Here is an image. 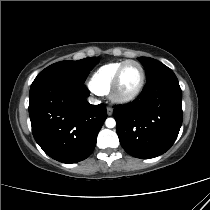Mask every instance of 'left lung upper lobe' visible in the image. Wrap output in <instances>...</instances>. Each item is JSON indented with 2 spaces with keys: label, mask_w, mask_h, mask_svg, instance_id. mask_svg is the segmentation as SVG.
Segmentation results:
<instances>
[{
  "label": "left lung upper lobe",
  "mask_w": 210,
  "mask_h": 210,
  "mask_svg": "<svg viewBox=\"0 0 210 210\" xmlns=\"http://www.w3.org/2000/svg\"><path fill=\"white\" fill-rule=\"evenodd\" d=\"M138 60L143 64L145 71H146V76H147V81L151 80L152 78L170 71L171 69L168 68L166 65L163 63L149 57H140Z\"/></svg>",
  "instance_id": "1"
}]
</instances>
